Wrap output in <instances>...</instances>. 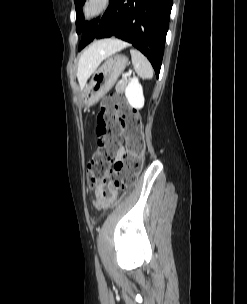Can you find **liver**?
<instances>
[{
  "instance_id": "liver-1",
  "label": "liver",
  "mask_w": 247,
  "mask_h": 304,
  "mask_svg": "<svg viewBox=\"0 0 247 304\" xmlns=\"http://www.w3.org/2000/svg\"><path fill=\"white\" fill-rule=\"evenodd\" d=\"M127 44L117 39L96 41L80 55L77 69V78L83 88L88 78L95 72L100 63L108 56L125 48Z\"/></svg>"
}]
</instances>
